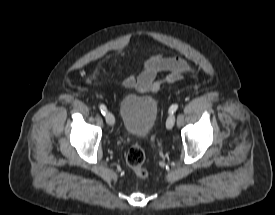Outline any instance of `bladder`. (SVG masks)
Instances as JSON below:
<instances>
[{"instance_id":"1","label":"bladder","mask_w":275,"mask_h":215,"mask_svg":"<svg viewBox=\"0 0 275 215\" xmlns=\"http://www.w3.org/2000/svg\"><path fill=\"white\" fill-rule=\"evenodd\" d=\"M125 132L133 138L148 137L156 123L158 103L152 96L127 94L119 105Z\"/></svg>"}]
</instances>
